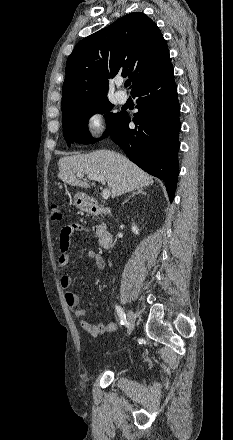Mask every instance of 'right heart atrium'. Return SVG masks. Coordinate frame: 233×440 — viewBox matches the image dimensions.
I'll list each match as a JSON object with an SVG mask.
<instances>
[{
	"mask_svg": "<svg viewBox=\"0 0 233 440\" xmlns=\"http://www.w3.org/2000/svg\"><path fill=\"white\" fill-rule=\"evenodd\" d=\"M86 134L93 139L99 138L105 131L103 114L98 109L89 111L83 120Z\"/></svg>",
	"mask_w": 233,
	"mask_h": 440,
	"instance_id": "d8ad5b80",
	"label": "right heart atrium"
}]
</instances>
